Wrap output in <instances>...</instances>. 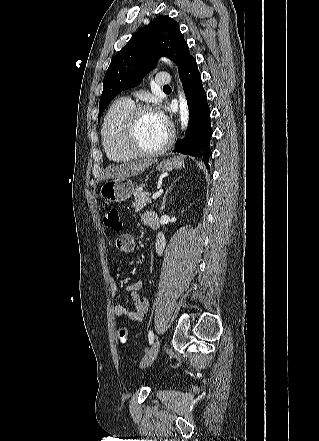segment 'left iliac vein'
Listing matches in <instances>:
<instances>
[{
  "label": "left iliac vein",
  "instance_id": "obj_1",
  "mask_svg": "<svg viewBox=\"0 0 319 441\" xmlns=\"http://www.w3.org/2000/svg\"><path fill=\"white\" fill-rule=\"evenodd\" d=\"M159 348H160V340L157 339L153 343V345L151 346L149 351L145 354L143 359L141 360V362H140V367L141 368H145L146 366H149L150 364H152V362L157 357V354L159 352Z\"/></svg>",
  "mask_w": 319,
  "mask_h": 441
}]
</instances>
